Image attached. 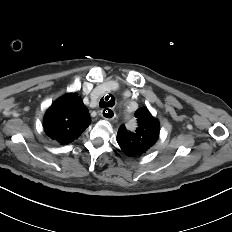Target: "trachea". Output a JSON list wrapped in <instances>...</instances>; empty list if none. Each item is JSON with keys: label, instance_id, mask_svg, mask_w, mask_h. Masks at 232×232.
<instances>
[{"label": "trachea", "instance_id": "3493384b", "mask_svg": "<svg viewBox=\"0 0 232 232\" xmlns=\"http://www.w3.org/2000/svg\"><path fill=\"white\" fill-rule=\"evenodd\" d=\"M115 101H114V97L110 94L107 96H103V98H101L100 100V107H113Z\"/></svg>", "mask_w": 232, "mask_h": 232}]
</instances>
